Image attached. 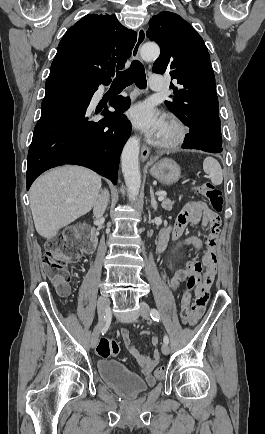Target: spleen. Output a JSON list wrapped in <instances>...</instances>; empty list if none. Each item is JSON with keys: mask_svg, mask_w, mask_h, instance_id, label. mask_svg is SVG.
I'll return each instance as SVG.
<instances>
[{"mask_svg": "<svg viewBox=\"0 0 265 434\" xmlns=\"http://www.w3.org/2000/svg\"><path fill=\"white\" fill-rule=\"evenodd\" d=\"M203 170L208 174L212 184L219 186L223 182V172L221 166L214 158H205L203 162Z\"/></svg>", "mask_w": 265, "mask_h": 434, "instance_id": "3e777b00", "label": "spleen"}]
</instances>
